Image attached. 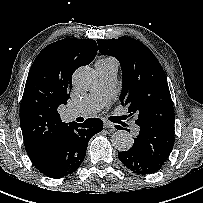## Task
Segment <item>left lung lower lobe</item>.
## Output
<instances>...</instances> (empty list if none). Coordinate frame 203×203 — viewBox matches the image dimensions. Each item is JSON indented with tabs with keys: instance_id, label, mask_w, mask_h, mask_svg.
Masks as SVG:
<instances>
[{
	"instance_id": "left-lung-lower-lobe-1",
	"label": "left lung lower lobe",
	"mask_w": 203,
	"mask_h": 203,
	"mask_svg": "<svg viewBox=\"0 0 203 203\" xmlns=\"http://www.w3.org/2000/svg\"><path fill=\"white\" fill-rule=\"evenodd\" d=\"M174 133L156 127H139L132 147L119 152L118 158L134 173L141 175L155 173L162 168L173 149Z\"/></svg>"
}]
</instances>
